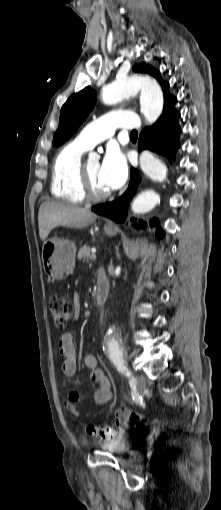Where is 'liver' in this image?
Masks as SVG:
<instances>
[{
  "label": "liver",
  "mask_w": 221,
  "mask_h": 510,
  "mask_svg": "<svg viewBox=\"0 0 221 510\" xmlns=\"http://www.w3.org/2000/svg\"><path fill=\"white\" fill-rule=\"evenodd\" d=\"M97 215L87 208L77 207L68 203L48 201L39 208V236L45 240L50 231L58 226L84 228L92 224Z\"/></svg>",
  "instance_id": "6515ba94"
}]
</instances>
